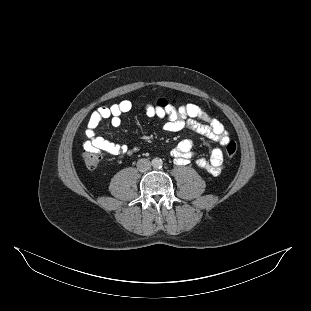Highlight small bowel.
<instances>
[{
  "label": "small bowel",
  "mask_w": 311,
  "mask_h": 311,
  "mask_svg": "<svg viewBox=\"0 0 311 311\" xmlns=\"http://www.w3.org/2000/svg\"><path fill=\"white\" fill-rule=\"evenodd\" d=\"M137 104L131 100H123L110 106H102L91 113L85 130L86 141L83 144L85 150H102L115 156H122L129 153L126 145L112 142L102 136H97L95 130L105 119H110L112 126L118 127L121 124V116L132 110ZM148 117L166 119L163 125L165 131L177 132L186 127L219 144L211 151L209 159L198 158L196 165L210 174L218 175L223 168V151L230 136L224 125L209 113L196 104H187L175 109L172 106L154 107L147 106ZM193 144L190 140H182L172 151L174 160L181 165L187 164L194 156Z\"/></svg>",
  "instance_id": "obj_1"
}]
</instances>
